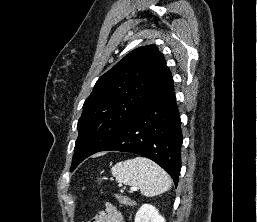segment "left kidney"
Instances as JSON below:
<instances>
[{
    "instance_id": "obj_1",
    "label": "left kidney",
    "mask_w": 257,
    "mask_h": 222,
    "mask_svg": "<svg viewBox=\"0 0 257 222\" xmlns=\"http://www.w3.org/2000/svg\"><path fill=\"white\" fill-rule=\"evenodd\" d=\"M135 222H166L158 210L149 204H144L137 211Z\"/></svg>"
}]
</instances>
